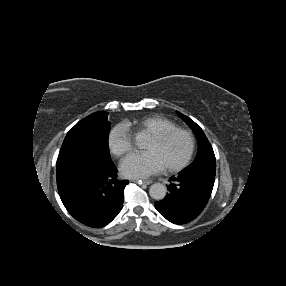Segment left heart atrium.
Listing matches in <instances>:
<instances>
[{
	"mask_svg": "<svg viewBox=\"0 0 286 286\" xmlns=\"http://www.w3.org/2000/svg\"><path fill=\"white\" fill-rule=\"evenodd\" d=\"M123 173L131 178H142L163 169L155 154L151 151L136 152L122 163Z\"/></svg>",
	"mask_w": 286,
	"mask_h": 286,
	"instance_id": "left-heart-atrium-1",
	"label": "left heart atrium"
}]
</instances>
